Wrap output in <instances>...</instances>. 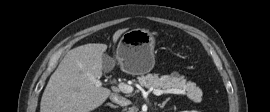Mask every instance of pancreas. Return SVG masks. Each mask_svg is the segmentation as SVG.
<instances>
[{
  "mask_svg": "<svg viewBox=\"0 0 270 112\" xmlns=\"http://www.w3.org/2000/svg\"><path fill=\"white\" fill-rule=\"evenodd\" d=\"M141 86L145 88H154L158 90H167L171 88L183 89L189 99L195 103H199L202 100V90L196 86L193 82H187L184 77H180L177 72L170 75L147 74L137 78Z\"/></svg>",
  "mask_w": 270,
  "mask_h": 112,
  "instance_id": "pancreas-1",
  "label": "pancreas"
}]
</instances>
